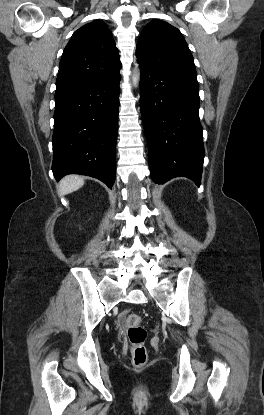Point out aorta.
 Here are the masks:
<instances>
[{
    "mask_svg": "<svg viewBox=\"0 0 264 415\" xmlns=\"http://www.w3.org/2000/svg\"><path fill=\"white\" fill-rule=\"evenodd\" d=\"M138 80H139V74L137 73V74H134L133 76H132V81H133V84L134 85H136L137 84V82H138Z\"/></svg>",
    "mask_w": 264,
    "mask_h": 415,
    "instance_id": "aorta-1",
    "label": "aorta"
}]
</instances>
